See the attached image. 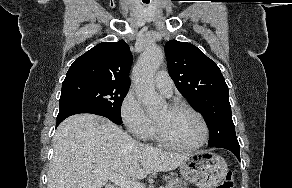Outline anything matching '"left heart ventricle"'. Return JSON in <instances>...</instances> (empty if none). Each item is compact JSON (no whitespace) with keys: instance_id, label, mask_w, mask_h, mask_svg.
Wrapping results in <instances>:
<instances>
[{"instance_id":"left-heart-ventricle-1","label":"left heart ventricle","mask_w":292,"mask_h":188,"mask_svg":"<svg viewBox=\"0 0 292 188\" xmlns=\"http://www.w3.org/2000/svg\"><path fill=\"white\" fill-rule=\"evenodd\" d=\"M154 119L172 141L181 145L196 144L203 135L200 120L187 111L172 112L165 107L154 116Z\"/></svg>"}]
</instances>
